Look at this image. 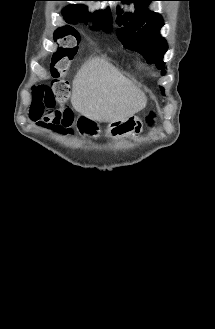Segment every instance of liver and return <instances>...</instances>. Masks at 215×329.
I'll return each mask as SVG.
<instances>
[{"label":"liver","instance_id":"1","mask_svg":"<svg viewBox=\"0 0 215 329\" xmlns=\"http://www.w3.org/2000/svg\"><path fill=\"white\" fill-rule=\"evenodd\" d=\"M71 103L82 116L110 123L144 109L147 98L116 68L103 60L91 59L73 80Z\"/></svg>","mask_w":215,"mask_h":329}]
</instances>
